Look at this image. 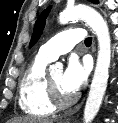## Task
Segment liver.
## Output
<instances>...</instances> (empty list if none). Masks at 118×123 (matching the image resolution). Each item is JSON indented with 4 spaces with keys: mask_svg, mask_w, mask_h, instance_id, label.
<instances>
[{
    "mask_svg": "<svg viewBox=\"0 0 118 123\" xmlns=\"http://www.w3.org/2000/svg\"><path fill=\"white\" fill-rule=\"evenodd\" d=\"M8 123H53V120L48 118L24 117L9 120Z\"/></svg>",
    "mask_w": 118,
    "mask_h": 123,
    "instance_id": "6515ba94",
    "label": "liver"
}]
</instances>
